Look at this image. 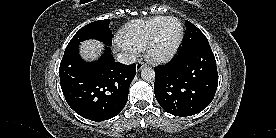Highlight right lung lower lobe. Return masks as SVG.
I'll list each match as a JSON object with an SVG mask.
<instances>
[{"instance_id": "right-lung-lower-lobe-1", "label": "right lung lower lobe", "mask_w": 276, "mask_h": 138, "mask_svg": "<svg viewBox=\"0 0 276 138\" xmlns=\"http://www.w3.org/2000/svg\"><path fill=\"white\" fill-rule=\"evenodd\" d=\"M79 45L67 47L59 68L62 92L68 105L80 116L103 121L118 115L128 100L135 64L115 62L109 46L95 62H85Z\"/></svg>"}]
</instances>
